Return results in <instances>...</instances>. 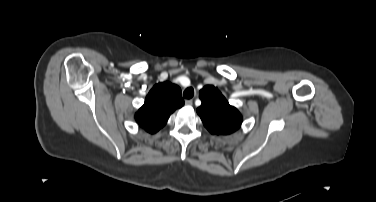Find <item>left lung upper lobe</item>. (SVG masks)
<instances>
[{"label":"left lung upper lobe","instance_id":"5c2ea615","mask_svg":"<svg viewBox=\"0 0 376 202\" xmlns=\"http://www.w3.org/2000/svg\"><path fill=\"white\" fill-rule=\"evenodd\" d=\"M199 97L202 104L197 113L210 133L227 135L240 128L242 115L217 88L207 85L200 90Z\"/></svg>","mask_w":376,"mask_h":202}]
</instances>
